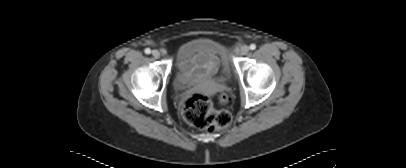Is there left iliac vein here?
<instances>
[{"label": "left iliac vein", "instance_id": "4c4485c4", "mask_svg": "<svg viewBox=\"0 0 406 168\" xmlns=\"http://www.w3.org/2000/svg\"><path fill=\"white\" fill-rule=\"evenodd\" d=\"M248 52H249V47L248 46L244 45V46L241 47V49H240V54L241 55H247Z\"/></svg>", "mask_w": 406, "mask_h": 168}]
</instances>
